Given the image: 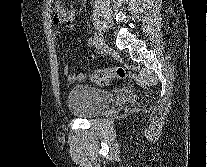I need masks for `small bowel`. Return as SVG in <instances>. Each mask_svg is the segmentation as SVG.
<instances>
[{"mask_svg": "<svg viewBox=\"0 0 207 167\" xmlns=\"http://www.w3.org/2000/svg\"><path fill=\"white\" fill-rule=\"evenodd\" d=\"M55 8V16H54V23L58 25H67L73 28V22L76 16V10L74 6H66L62 1L57 0L54 5ZM61 32L58 31L56 33L57 36H61ZM87 60H90L91 57L87 56ZM63 73L66 76L68 82H81L86 79V75L84 73L74 74L71 73L70 68L66 65L63 68Z\"/></svg>", "mask_w": 207, "mask_h": 167, "instance_id": "c3829d8e", "label": "small bowel"}]
</instances>
